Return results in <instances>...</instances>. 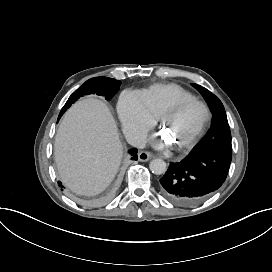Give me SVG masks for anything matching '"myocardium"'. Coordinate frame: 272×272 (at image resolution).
<instances>
[{"label": "myocardium", "instance_id": "obj_1", "mask_svg": "<svg viewBox=\"0 0 272 272\" xmlns=\"http://www.w3.org/2000/svg\"><path fill=\"white\" fill-rule=\"evenodd\" d=\"M196 106L200 109L201 111V119L198 123V125L195 127V129L191 132L190 136L188 139L183 143L184 148H189L194 144L198 136L201 134L203 131L208 117H209V111L207 106L196 99H175L173 100L161 113V122L162 124L166 123V116L168 114H175V113H180L184 110L189 109L190 107Z\"/></svg>", "mask_w": 272, "mask_h": 272}]
</instances>
